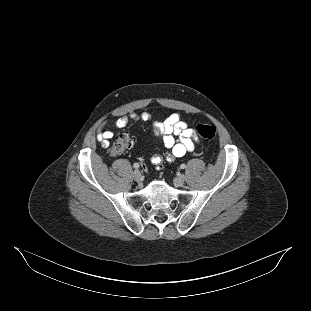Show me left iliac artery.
<instances>
[{"mask_svg":"<svg viewBox=\"0 0 311 311\" xmlns=\"http://www.w3.org/2000/svg\"><path fill=\"white\" fill-rule=\"evenodd\" d=\"M180 168H181V169H185V168H186V165H185V164H181V165H180Z\"/></svg>","mask_w":311,"mask_h":311,"instance_id":"obj_1","label":"left iliac artery"}]
</instances>
